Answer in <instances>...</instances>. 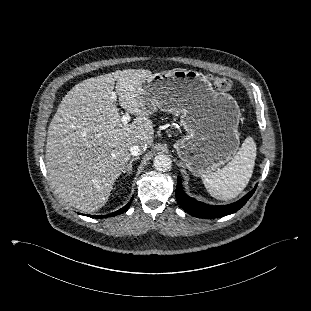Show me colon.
<instances>
[{
  "mask_svg": "<svg viewBox=\"0 0 311 311\" xmlns=\"http://www.w3.org/2000/svg\"><path fill=\"white\" fill-rule=\"evenodd\" d=\"M216 88L220 91H229L233 87V83L230 79L224 77H216L213 79Z\"/></svg>",
  "mask_w": 311,
  "mask_h": 311,
  "instance_id": "5ec220e1",
  "label": "colon"
}]
</instances>
